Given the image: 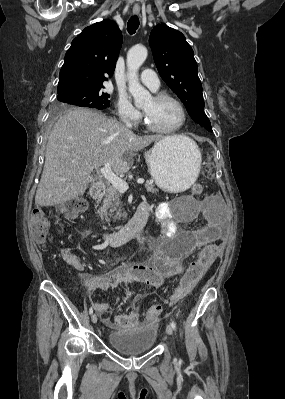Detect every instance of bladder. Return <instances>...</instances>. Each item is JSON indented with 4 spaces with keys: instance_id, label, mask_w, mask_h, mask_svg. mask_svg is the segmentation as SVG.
I'll list each match as a JSON object with an SVG mask.
<instances>
[{
    "instance_id": "obj_1",
    "label": "bladder",
    "mask_w": 285,
    "mask_h": 399,
    "mask_svg": "<svg viewBox=\"0 0 285 399\" xmlns=\"http://www.w3.org/2000/svg\"><path fill=\"white\" fill-rule=\"evenodd\" d=\"M181 200H193L182 196ZM157 331L153 326L135 327L122 332H112L107 335L108 345L118 353L134 357L150 351L156 341Z\"/></svg>"
}]
</instances>
